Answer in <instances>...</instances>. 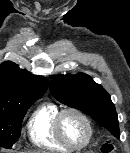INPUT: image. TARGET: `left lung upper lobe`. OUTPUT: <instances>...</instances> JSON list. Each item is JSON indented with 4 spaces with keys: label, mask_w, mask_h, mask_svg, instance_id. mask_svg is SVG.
<instances>
[{
    "label": "left lung upper lobe",
    "mask_w": 130,
    "mask_h": 153,
    "mask_svg": "<svg viewBox=\"0 0 130 153\" xmlns=\"http://www.w3.org/2000/svg\"><path fill=\"white\" fill-rule=\"evenodd\" d=\"M50 91L61 103L88 114L115 137H120L118 117L110 95L87 74L57 75L51 82Z\"/></svg>",
    "instance_id": "5c2ea615"
}]
</instances>
